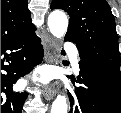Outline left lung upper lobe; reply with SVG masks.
<instances>
[{
	"label": "left lung upper lobe",
	"mask_w": 121,
	"mask_h": 113,
	"mask_svg": "<svg viewBox=\"0 0 121 113\" xmlns=\"http://www.w3.org/2000/svg\"><path fill=\"white\" fill-rule=\"evenodd\" d=\"M70 16L65 39L76 44L80 59L121 84L120 56L115 21L105 0H53L51 9Z\"/></svg>",
	"instance_id": "left-lung-upper-lobe-1"
}]
</instances>
